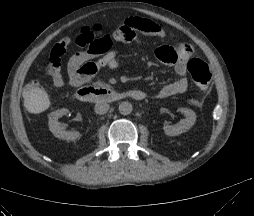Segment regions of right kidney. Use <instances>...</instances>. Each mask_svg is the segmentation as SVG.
Segmentation results:
<instances>
[{"instance_id":"ca27d5eb","label":"right kidney","mask_w":254,"mask_h":216,"mask_svg":"<svg viewBox=\"0 0 254 216\" xmlns=\"http://www.w3.org/2000/svg\"><path fill=\"white\" fill-rule=\"evenodd\" d=\"M69 112L68 109L62 108L52 112L49 115V129L53 133V135L59 139L73 141L76 140L80 133L77 131H65L63 130V126L58 122V119L63 115H66Z\"/></svg>"}]
</instances>
